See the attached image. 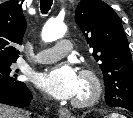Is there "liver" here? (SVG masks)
<instances>
[{"label":"liver","mask_w":133,"mask_h":118,"mask_svg":"<svg viewBox=\"0 0 133 118\" xmlns=\"http://www.w3.org/2000/svg\"><path fill=\"white\" fill-rule=\"evenodd\" d=\"M0 118H30L27 111L0 104Z\"/></svg>","instance_id":"1"}]
</instances>
